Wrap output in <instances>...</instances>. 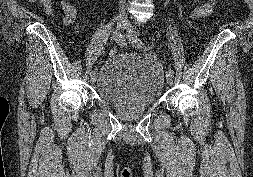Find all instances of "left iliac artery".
<instances>
[{
  "mask_svg": "<svg viewBox=\"0 0 253 177\" xmlns=\"http://www.w3.org/2000/svg\"><path fill=\"white\" fill-rule=\"evenodd\" d=\"M127 37H129L128 34H127ZM132 41H133L134 45H136L138 48L147 47L146 44L141 39H139L137 37H133ZM166 75H174L173 69H168L166 72Z\"/></svg>",
  "mask_w": 253,
  "mask_h": 177,
  "instance_id": "44dca946",
  "label": "left iliac artery"
}]
</instances>
